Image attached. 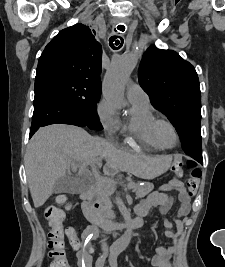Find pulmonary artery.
Returning a JSON list of instances; mask_svg holds the SVG:
<instances>
[{"label": "pulmonary artery", "instance_id": "obj_1", "mask_svg": "<svg viewBox=\"0 0 225 267\" xmlns=\"http://www.w3.org/2000/svg\"><path fill=\"white\" fill-rule=\"evenodd\" d=\"M127 95L130 100H148L147 93L137 83L128 86Z\"/></svg>", "mask_w": 225, "mask_h": 267}]
</instances>
